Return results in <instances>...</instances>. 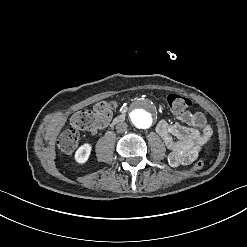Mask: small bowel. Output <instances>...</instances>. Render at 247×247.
Listing matches in <instances>:
<instances>
[{
	"label": "small bowel",
	"instance_id": "1",
	"mask_svg": "<svg viewBox=\"0 0 247 247\" xmlns=\"http://www.w3.org/2000/svg\"><path fill=\"white\" fill-rule=\"evenodd\" d=\"M176 114L186 125L160 121L156 131L169 151V164L173 167L188 166L197 159L202 147L209 140L210 137L205 134V129L209 126L201 112L177 111Z\"/></svg>",
	"mask_w": 247,
	"mask_h": 247
}]
</instances>
